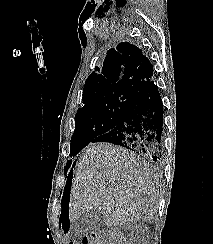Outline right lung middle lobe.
Returning <instances> with one entry per match:
<instances>
[{
  "mask_svg": "<svg viewBox=\"0 0 213 244\" xmlns=\"http://www.w3.org/2000/svg\"><path fill=\"white\" fill-rule=\"evenodd\" d=\"M135 96L114 94L92 100L79 108L75 116V130L71 138L70 157L76 156L95 138L112 130L122 118ZM72 160L65 166L67 173Z\"/></svg>",
  "mask_w": 213,
  "mask_h": 244,
  "instance_id": "obj_1",
  "label": "right lung middle lobe"
}]
</instances>
